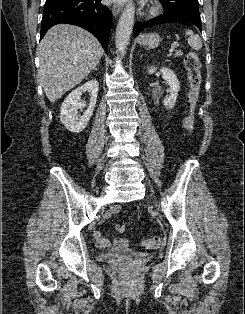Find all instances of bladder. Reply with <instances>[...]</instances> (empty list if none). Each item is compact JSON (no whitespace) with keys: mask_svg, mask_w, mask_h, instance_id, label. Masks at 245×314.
<instances>
[{"mask_svg":"<svg viewBox=\"0 0 245 314\" xmlns=\"http://www.w3.org/2000/svg\"><path fill=\"white\" fill-rule=\"evenodd\" d=\"M120 254L123 255V256L132 258V259H137V258L141 257L140 253L132 252V251H124V252H122ZM109 256H110V253H108V252H101V253H99V259L100 260H106V259L109 258Z\"/></svg>","mask_w":245,"mask_h":314,"instance_id":"bladder-1","label":"bladder"}]
</instances>
